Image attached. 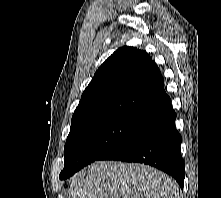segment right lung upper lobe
Wrapping results in <instances>:
<instances>
[{
	"instance_id": "cb5924a9",
	"label": "right lung upper lobe",
	"mask_w": 221,
	"mask_h": 198,
	"mask_svg": "<svg viewBox=\"0 0 221 198\" xmlns=\"http://www.w3.org/2000/svg\"><path fill=\"white\" fill-rule=\"evenodd\" d=\"M169 100L152 58L144 51L125 46L99 67L84 90L70 131L107 117L143 120Z\"/></svg>"
}]
</instances>
